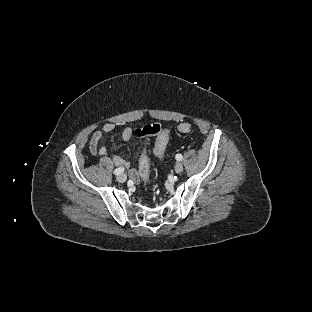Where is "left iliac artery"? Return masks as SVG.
I'll use <instances>...</instances> for the list:
<instances>
[{"mask_svg":"<svg viewBox=\"0 0 312 312\" xmlns=\"http://www.w3.org/2000/svg\"><path fill=\"white\" fill-rule=\"evenodd\" d=\"M176 160L181 161L182 160V155L181 154H177L176 155Z\"/></svg>","mask_w":312,"mask_h":312,"instance_id":"44dca946","label":"left iliac artery"}]
</instances>
